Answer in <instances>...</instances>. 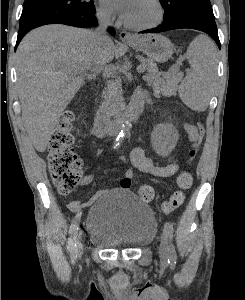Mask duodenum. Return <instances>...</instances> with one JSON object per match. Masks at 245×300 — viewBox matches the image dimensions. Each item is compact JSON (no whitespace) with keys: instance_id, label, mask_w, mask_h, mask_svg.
Returning a JSON list of instances; mask_svg holds the SVG:
<instances>
[{"instance_id":"1","label":"duodenum","mask_w":245,"mask_h":300,"mask_svg":"<svg viewBox=\"0 0 245 300\" xmlns=\"http://www.w3.org/2000/svg\"><path fill=\"white\" fill-rule=\"evenodd\" d=\"M146 100L144 93H138L128 111L116 118H112L100 105H96L94 110L95 124L108 135L117 134L124 126L139 118Z\"/></svg>"}]
</instances>
